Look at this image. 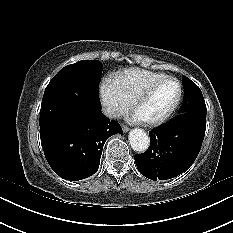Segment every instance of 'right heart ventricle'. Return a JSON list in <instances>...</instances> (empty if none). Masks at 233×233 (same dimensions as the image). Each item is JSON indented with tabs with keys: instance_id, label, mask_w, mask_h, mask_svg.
Listing matches in <instances>:
<instances>
[{
	"instance_id": "e07e8e85",
	"label": "right heart ventricle",
	"mask_w": 233,
	"mask_h": 233,
	"mask_svg": "<svg viewBox=\"0 0 233 233\" xmlns=\"http://www.w3.org/2000/svg\"><path fill=\"white\" fill-rule=\"evenodd\" d=\"M162 76L164 75L161 73L140 68H131L115 75L113 80L121 92L131 100L147 84Z\"/></svg>"
}]
</instances>
